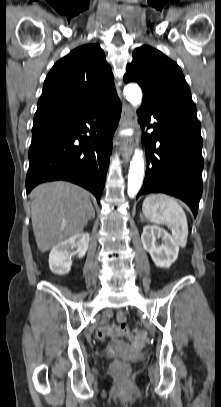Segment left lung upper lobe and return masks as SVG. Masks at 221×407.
Segmentation results:
<instances>
[{
  "mask_svg": "<svg viewBox=\"0 0 221 407\" xmlns=\"http://www.w3.org/2000/svg\"><path fill=\"white\" fill-rule=\"evenodd\" d=\"M125 82L135 81L143 90V106L161 108L176 104L194 105L179 66L150 46L134 50L127 65Z\"/></svg>",
  "mask_w": 221,
  "mask_h": 407,
  "instance_id": "left-lung-upper-lobe-1",
  "label": "left lung upper lobe"
}]
</instances>
